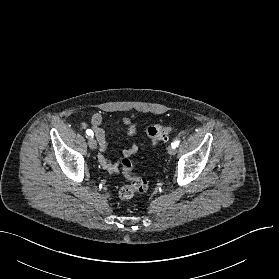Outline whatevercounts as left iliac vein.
Segmentation results:
<instances>
[{"label":"left iliac vein","mask_w":279,"mask_h":279,"mask_svg":"<svg viewBox=\"0 0 279 279\" xmlns=\"http://www.w3.org/2000/svg\"><path fill=\"white\" fill-rule=\"evenodd\" d=\"M176 152H177L176 149L173 148L172 146H170V147L168 148V153H169L170 155H175Z\"/></svg>","instance_id":"1"}]
</instances>
